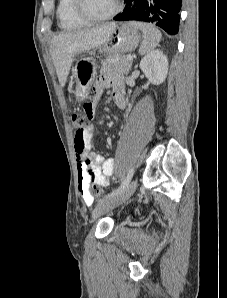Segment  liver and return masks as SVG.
I'll list each match as a JSON object with an SVG mask.
<instances>
[{
  "label": "liver",
  "instance_id": "obj_1",
  "mask_svg": "<svg viewBox=\"0 0 227 298\" xmlns=\"http://www.w3.org/2000/svg\"><path fill=\"white\" fill-rule=\"evenodd\" d=\"M115 25L108 23L93 29L65 32L52 38L51 55L61 87L66 84L75 57L105 43Z\"/></svg>",
  "mask_w": 227,
  "mask_h": 298
}]
</instances>
